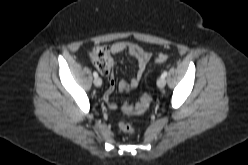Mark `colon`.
Returning <instances> with one entry per match:
<instances>
[{
    "mask_svg": "<svg viewBox=\"0 0 248 165\" xmlns=\"http://www.w3.org/2000/svg\"><path fill=\"white\" fill-rule=\"evenodd\" d=\"M92 61L94 66L96 67L97 70L100 72H105L106 70L110 69L112 67V56H111V51L110 48L106 45H101L92 50L91 53ZM167 55L166 54H159L155 61L158 64L164 63L167 60ZM151 103V96L148 93H144L139 101L136 104H128L126 103L123 106V109L126 112L130 113H141L145 111ZM115 106V104L113 103ZM119 128L128 134L134 133V128L133 126L126 122V121H120L119 122Z\"/></svg>",
    "mask_w": 248,
    "mask_h": 165,
    "instance_id": "obj_1",
    "label": "colon"
}]
</instances>
